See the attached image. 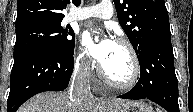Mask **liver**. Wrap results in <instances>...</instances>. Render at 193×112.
Segmentation results:
<instances>
[{
  "label": "liver",
  "instance_id": "obj_1",
  "mask_svg": "<svg viewBox=\"0 0 193 112\" xmlns=\"http://www.w3.org/2000/svg\"><path fill=\"white\" fill-rule=\"evenodd\" d=\"M117 102H124L115 99ZM103 104L92 95H84L79 101L70 99L69 93L43 92L24 103L18 112H102Z\"/></svg>",
  "mask_w": 193,
  "mask_h": 112
}]
</instances>
